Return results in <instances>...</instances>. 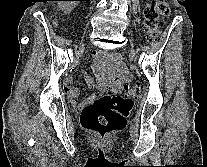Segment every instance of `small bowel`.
I'll return each mask as SVG.
<instances>
[{
    "instance_id": "small-bowel-1",
    "label": "small bowel",
    "mask_w": 207,
    "mask_h": 167,
    "mask_svg": "<svg viewBox=\"0 0 207 167\" xmlns=\"http://www.w3.org/2000/svg\"><path fill=\"white\" fill-rule=\"evenodd\" d=\"M130 78L129 72L123 65H116L114 67V72L112 74V79L113 80H128ZM84 80L86 83L91 87V88H97L99 90H105L108 88L109 84L107 82L106 77H101L99 82L94 81V79L90 76L85 75ZM72 77H67L66 82H65V91L68 95V98L71 102V104L77 108L84 109L91 103H93L97 98L98 94H94L87 99H85L82 102H78L77 97H78V90L72 86ZM114 86L118 87L119 83L115 82Z\"/></svg>"
}]
</instances>
